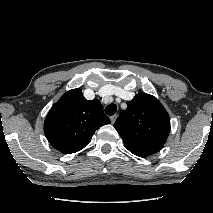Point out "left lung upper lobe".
Listing matches in <instances>:
<instances>
[{
	"label": "left lung upper lobe",
	"mask_w": 213,
	"mask_h": 213,
	"mask_svg": "<svg viewBox=\"0 0 213 213\" xmlns=\"http://www.w3.org/2000/svg\"><path fill=\"white\" fill-rule=\"evenodd\" d=\"M126 148L139 157L160 151L170 132V118L152 95L137 94L114 123Z\"/></svg>",
	"instance_id": "5c2ea615"
}]
</instances>
